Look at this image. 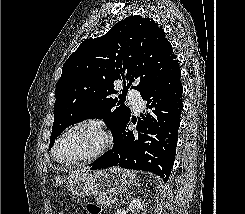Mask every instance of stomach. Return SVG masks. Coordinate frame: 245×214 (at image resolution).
<instances>
[{
	"instance_id": "obj_1",
	"label": "stomach",
	"mask_w": 245,
	"mask_h": 214,
	"mask_svg": "<svg viewBox=\"0 0 245 214\" xmlns=\"http://www.w3.org/2000/svg\"><path fill=\"white\" fill-rule=\"evenodd\" d=\"M53 181L57 185L66 182L68 190L78 197L113 196L125 193L136 179L134 175L125 169L113 167L87 174L82 171L72 172L66 179L56 175Z\"/></svg>"
}]
</instances>
